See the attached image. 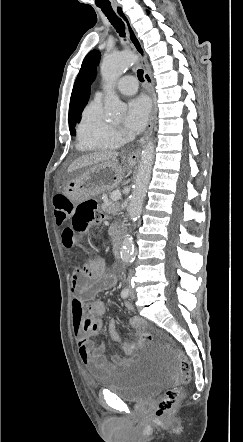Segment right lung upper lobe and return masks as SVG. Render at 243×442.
Instances as JSON below:
<instances>
[{"label": "right lung upper lobe", "instance_id": "right-lung-upper-lobe-1", "mask_svg": "<svg viewBox=\"0 0 243 442\" xmlns=\"http://www.w3.org/2000/svg\"><path fill=\"white\" fill-rule=\"evenodd\" d=\"M80 82L78 80H76L74 87H73V91H72V95H71V99H70V106H69V127H74L75 126V112H76V104L78 101V95L80 92Z\"/></svg>", "mask_w": 243, "mask_h": 442}]
</instances>
